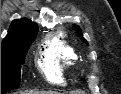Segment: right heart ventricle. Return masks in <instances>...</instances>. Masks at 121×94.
I'll use <instances>...</instances> for the list:
<instances>
[{"label": "right heart ventricle", "mask_w": 121, "mask_h": 94, "mask_svg": "<svg viewBox=\"0 0 121 94\" xmlns=\"http://www.w3.org/2000/svg\"><path fill=\"white\" fill-rule=\"evenodd\" d=\"M77 62L75 48L62 37L54 36L45 42L39 66L49 82L62 84L65 71L73 69Z\"/></svg>", "instance_id": "right-heart-ventricle-1"}]
</instances>
